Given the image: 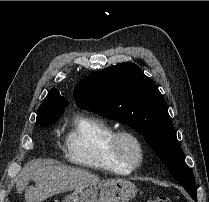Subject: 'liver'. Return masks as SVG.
Segmentation results:
<instances>
[{
  "label": "liver",
  "mask_w": 209,
  "mask_h": 202,
  "mask_svg": "<svg viewBox=\"0 0 209 202\" xmlns=\"http://www.w3.org/2000/svg\"><path fill=\"white\" fill-rule=\"evenodd\" d=\"M31 180L35 182V187L28 186ZM100 181L97 175L83 169L46 165L43 161L35 160L27 163L19 174L16 189L19 194L25 191L27 202H41L53 195Z\"/></svg>",
  "instance_id": "liver-1"
}]
</instances>
